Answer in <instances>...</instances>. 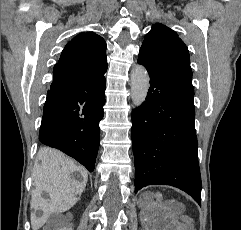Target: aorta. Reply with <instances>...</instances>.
<instances>
[{"label":"aorta","instance_id":"1","mask_svg":"<svg viewBox=\"0 0 241 230\" xmlns=\"http://www.w3.org/2000/svg\"><path fill=\"white\" fill-rule=\"evenodd\" d=\"M149 75L147 70L136 65L131 72V99L134 107L140 106L146 99L149 89Z\"/></svg>","mask_w":241,"mask_h":230}]
</instances>
